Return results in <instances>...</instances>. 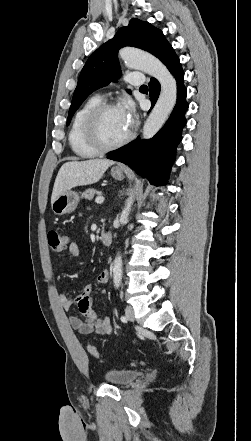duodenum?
I'll list each match as a JSON object with an SVG mask.
<instances>
[{"mask_svg": "<svg viewBox=\"0 0 251 441\" xmlns=\"http://www.w3.org/2000/svg\"><path fill=\"white\" fill-rule=\"evenodd\" d=\"M100 241L103 245L109 246L112 243V233L110 231L102 233Z\"/></svg>", "mask_w": 251, "mask_h": 441, "instance_id": "410a0bca", "label": "duodenum"}]
</instances>
